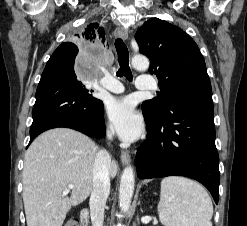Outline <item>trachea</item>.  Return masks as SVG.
<instances>
[{
    "mask_svg": "<svg viewBox=\"0 0 247 226\" xmlns=\"http://www.w3.org/2000/svg\"><path fill=\"white\" fill-rule=\"evenodd\" d=\"M115 48L118 54V62L120 68L116 75L118 77L125 76L128 81H132V72L129 66V52L127 46L122 41V39L118 38L115 40Z\"/></svg>",
    "mask_w": 247,
    "mask_h": 226,
    "instance_id": "trachea-1",
    "label": "trachea"
}]
</instances>
